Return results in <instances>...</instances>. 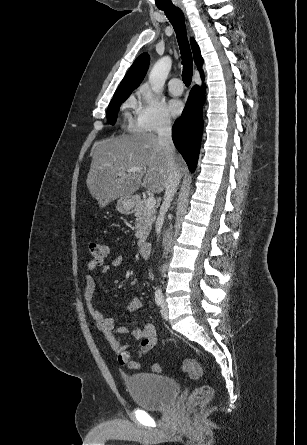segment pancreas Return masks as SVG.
Here are the masks:
<instances>
[{
	"instance_id": "pancreas-1",
	"label": "pancreas",
	"mask_w": 307,
	"mask_h": 445,
	"mask_svg": "<svg viewBox=\"0 0 307 445\" xmlns=\"http://www.w3.org/2000/svg\"><path fill=\"white\" fill-rule=\"evenodd\" d=\"M156 208H149L146 206V200H140L136 206L135 216L136 223V239H138L137 245H143L147 239L148 233H150L153 225V220L156 218Z\"/></svg>"
}]
</instances>
